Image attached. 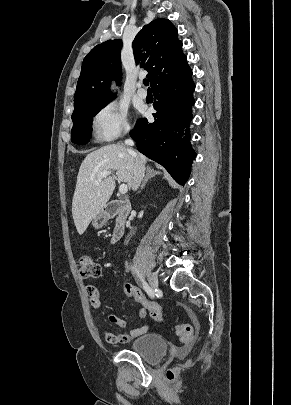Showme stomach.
Returning <instances> with one entry per match:
<instances>
[{"mask_svg": "<svg viewBox=\"0 0 291 405\" xmlns=\"http://www.w3.org/2000/svg\"><path fill=\"white\" fill-rule=\"evenodd\" d=\"M110 215L107 211L102 209L93 219L92 226L96 229L102 228L109 220Z\"/></svg>", "mask_w": 291, "mask_h": 405, "instance_id": "1", "label": "stomach"}]
</instances>
